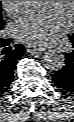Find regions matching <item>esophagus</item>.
<instances>
[{
    "label": "esophagus",
    "mask_w": 74,
    "mask_h": 122,
    "mask_svg": "<svg viewBox=\"0 0 74 122\" xmlns=\"http://www.w3.org/2000/svg\"><path fill=\"white\" fill-rule=\"evenodd\" d=\"M45 50H46V47L44 46L26 45V51L29 53H38Z\"/></svg>",
    "instance_id": "obj_1"
}]
</instances>
